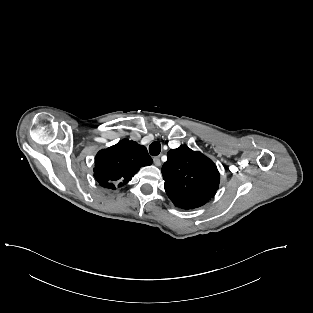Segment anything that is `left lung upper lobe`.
Segmentation results:
<instances>
[{"label": "left lung upper lobe", "mask_w": 313, "mask_h": 313, "mask_svg": "<svg viewBox=\"0 0 313 313\" xmlns=\"http://www.w3.org/2000/svg\"><path fill=\"white\" fill-rule=\"evenodd\" d=\"M167 157L161 172L165 191L175 206L194 209L215 195L220 174L212 160L184 145L171 149Z\"/></svg>", "instance_id": "obj_1"}]
</instances>
